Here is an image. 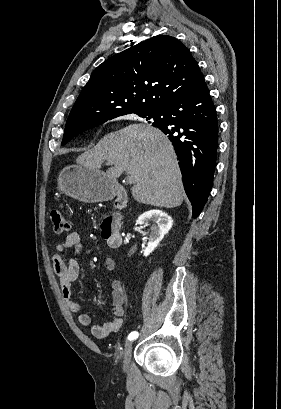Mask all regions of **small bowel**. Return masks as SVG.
Wrapping results in <instances>:
<instances>
[{
    "label": "small bowel",
    "mask_w": 281,
    "mask_h": 409,
    "mask_svg": "<svg viewBox=\"0 0 281 409\" xmlns=\"http://www.w3.org/2000/svg\"><path fill=\"white\" fill-rule=\"evenodd\" d=\"M82 247L80 235L76 232L67 234L56 247L52 262L55 273L59 277L62 295L68 307L75 313H78V321L82 326L89 327L91 334L96 338H104L110 334L118 332L124 324V290L119 280L111 283L112 294V312L115 318L104 324L98 325L92 323L91 317L81 311V305L73 298L72 283L77 279L79 274L78 262L70 258L66 260L69 251H79ZM116 263L113 258H106L104 268L108 272L115 270Z\"/></svg>",
    "instance_id": "small-bowel-1"
}]
</instances>
